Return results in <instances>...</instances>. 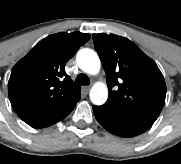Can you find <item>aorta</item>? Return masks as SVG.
Segmentation results:
<instances>
[{
	"label": "aorta",
	"mask_w": 181,
	"mask_h": 164,
	"mask_svg": "<svg viewBox=\"0 0 181 164\" xmlns=\"http://www.w3.org/2000/svg\"><path fill=\"white\" fill-rule=\"evenodd\" d=\"M79 68L87 74L96 75L100 71L101 62L97 53L89 48L81 49L76 57ZM108 89L103 82H96L90 90V100L95 105L107 101Z\"/></svg>",
	"instance_id": "obj_1"
}]
</instances>
